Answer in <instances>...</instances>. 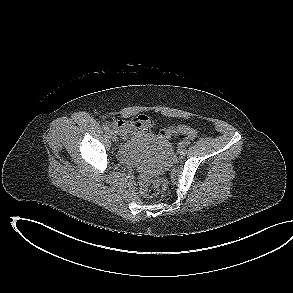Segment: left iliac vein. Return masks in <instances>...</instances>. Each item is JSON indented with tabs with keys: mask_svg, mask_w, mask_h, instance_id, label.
I'll use <instances>...</instances> for the list:
<instances>
[{
	"mask_svg": "<svg viewBox=\"0 0 293 293\" xmlns=\"http://www.w3.org/2000/svg\"><path fill=\"white\" fill-rule=\"evenodd\" d=\"M179 153H180L181 156H185L187 151L184 148H182V149H180Z\"/></svg>",
	"mask_w": 293,
	"mask_h": 293,
	"instance_id": "left-iliac-vein-1",
	"label": "left iliac vein"
}]
</instances>
